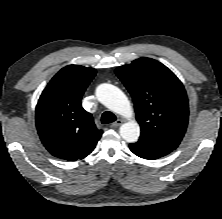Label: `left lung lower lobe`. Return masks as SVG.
I'll return each mask as SVG.
<instances>
[{
	"instance_id": "0a47b994",
	"label": "left lung lower lobe",
	"mask_w": 222,
	"mask_h": 219,
	"mask_svg": "<svg viewBox=\"0 0 222 219\" xmlns=\"http://www.w3.org/2000/svg\"><path fill=\"white\" fill-rule=\"evenodd\" d=\"M129 147L134 154L144 159H157L173 151V149L169 147L153 144L144 140L131 143Z\"/></svg>"
}]
</instances>
